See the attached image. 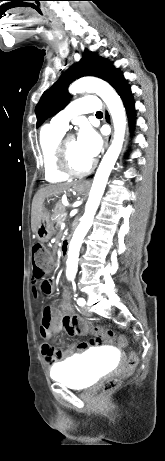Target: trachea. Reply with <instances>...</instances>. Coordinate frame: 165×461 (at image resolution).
Listing matches in <instances>:
<instances>
[{
	"mask_svg": "<svg viewBox=\"0 0 165 461\" xmlns=\"http://www.w3.org/2000/svg\"><path fill=\"white\" fill-rule=\"evenodd\" d=\"M96 115H97V116H100V115H103V114H102L101 111H98V112L96 113Z\"/></svg>",
	"mask_w": 165,
	"mask_h": 461,
	"instance_id": "obj_1",
	"label": "trachea"
}]
</instances>
